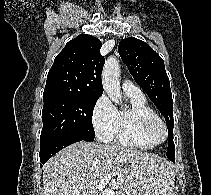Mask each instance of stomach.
Instances as JSON below:
<instances>
[{
  "mask_svg": "<svg viewBox=\"0 0 211 195\" xmlns=\"http://www.w3.org/2000/svg\"><path fill=\"white\" fill-rule=\"evenodd\" d=\"M130 195H137V194H130ZM163 195H173V193H172L171 191H168V192H166V193L163 194Z\"/></svg>",
  "mask_w": 211,
  "mask_h": 195,
  "instance_id": "obj_1",
  "label": "stomach"
}]
</instances>
